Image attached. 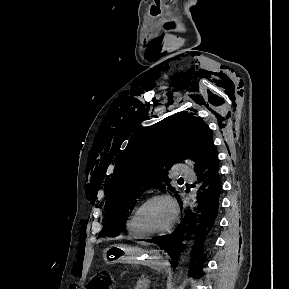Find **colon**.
Instances as JSON below:
<instances>
[{"label":"colon","instance_id":"obj_1","mask_svg":"<svg viewBox=\"0 0 289 289\" xmlns=\"http://www.w3.org/2000/svg\"><path fill=\"white\" fill-rule=\"evenodd\" d=\"M87 289H110V280L103 274H96L88 282Z\"/></svg>","mask_w":289,"mask_h":289}]
</instances>
